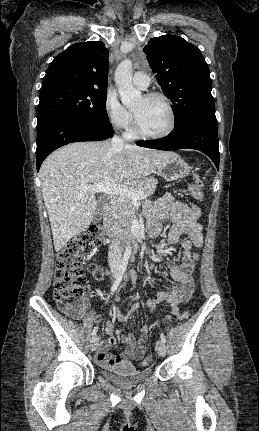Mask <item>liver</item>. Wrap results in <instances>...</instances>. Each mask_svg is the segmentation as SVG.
Masks as SVG:
<instances>
[{"instance_id":"1","label":"liver","mask_w":259,"mask_h":431,"mask_svg":"<svg viewBox=\"0 0 259 431\" xmlns=\"http://www.w3.org/2000/svg\"><path fill=\"white\" fill-rule=\"evenodd\" d=\"M172 154L129 144L114 148L106 141L71 143L49 155L40 178L55 250L60 251L93 220L98 201L94 193H84L83 187L141 179L155 173Z\"/></svg>"}]
</instances>
